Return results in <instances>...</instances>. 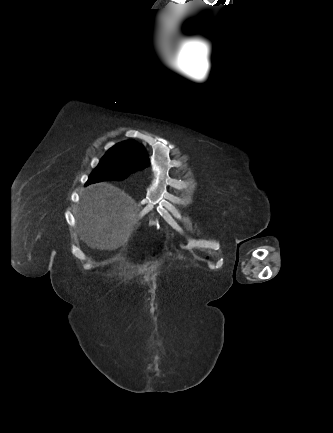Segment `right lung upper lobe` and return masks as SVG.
<instances>
[{"label": "right lung upper lobe", "instance_id": "cb5924a9", "mask_svg": "<svg viewBox=\"0 0 333 433\" xmlns=\"http://www.w3.org/2000/svg\"><path fill=\"white\" fill-rule=\"evenodd\" d=\"M106 154L112 157L130 158L136 160L140 164L149 165V159L143 147L132 140L116 144L109 149Z\"/></svg>", "mask_w": 333, "mask_h": 433}]
</instances>
